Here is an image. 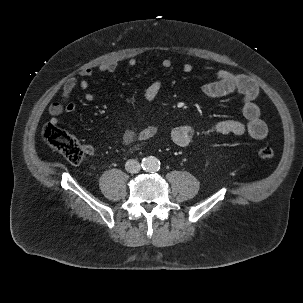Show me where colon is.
<instances>
[{"mask_svg": "<svg viewBox=\"0 0 303 303\" xmlns=\"http://www.w3.org/2000/svg\"><path fill=\"white\" fill-rule=\"evenodd\" d=\"M42 136L50 147L61 153L70 163L77 165L83 161L84 150L73 134L50 122L44 126ZM258 156L263 160H270L274 157V150L269 146L261 147Z\"/></svg>", "mask_w": 303, "mask_h": 303, "instance_id": "1", "label": "colon"}]
</instances>
